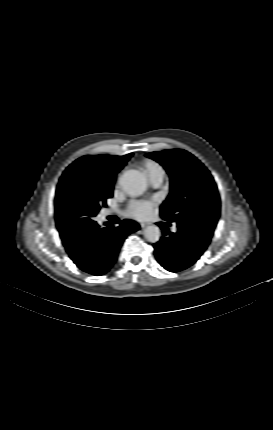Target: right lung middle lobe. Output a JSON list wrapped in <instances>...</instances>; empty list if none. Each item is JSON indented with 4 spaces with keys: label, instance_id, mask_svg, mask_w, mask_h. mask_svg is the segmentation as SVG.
Here are the masks:
<instances>
[{
    "label": "right lung middle lobe",
    "instance_id": "dd1d6c3e",
    "mask_svg": "<svg viewBox=\"0 0 273 430\" xmlns=\"http://www.w3.org/2000/svg\"><path fill=\"white\" fill-rule=\"evenodd\" d=\"M114 182L90 183L74 172H64L55 198V220L61 236L79 235L95 221L106 199L113 196Z\"/></svg>",
    "mask_w": 273,
    "mask_h": 430
}]
</instances>
